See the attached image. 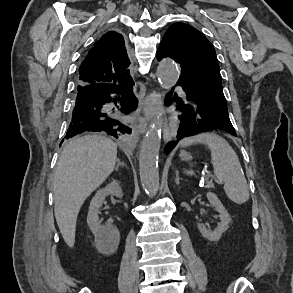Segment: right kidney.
<instances>
[{
  "label": "right kidney",
  "mask_w": 293,
  "mask_h": 293,
  "mask_svg": "<svg viewBox=\"0 0 293 293\" xmlns=\"http://www.w3.org/2000/svg\"><path fill=\"white\" fill-rule=\"evenodd\" d=\"M107 195H113L116 197L123 196L119 182L114 180L96 192L95 196L90 202L89 212L87 215V224L95 238L98 240L99 247L116 248L120 240L118 229L112 224H106V226L101 225L98 216L99 209L101 208Z\"/></svg>",
  "instance_id": "1"
}]
</instances>
